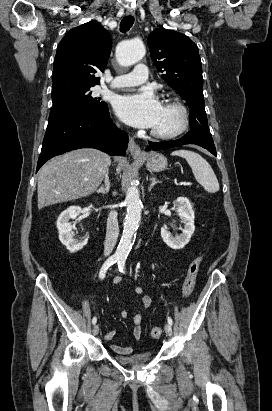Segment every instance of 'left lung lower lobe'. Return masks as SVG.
I'll return each mask as SVG.
<instances>
[{
    "instance_id": "0a47b994",
    "label": "left lung lower lobe",
    "mask_w": 272,
    "mask_h": 411,
    "mask_svg": "<svg viewBox=\"0 0 272 411\" xmlns=\"http://www.w3.org/2000/svg\"><path fill=\"white\" fill-rule=\"evenodd\" d=\"M184 144H196L207 149L213 155L217 156L216 148L209 129L190 130V132H188L184 137L169 142L148 141V146L145 150H162Z\"/></svg>"
}]
</instances>
